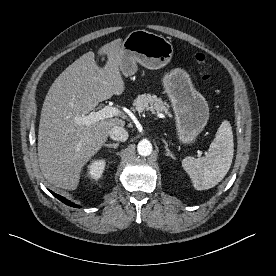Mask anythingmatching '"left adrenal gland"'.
Instances as JSON below:
<instances>
[{
	"mask_svg": "<svg viewBox=\"0 0 276 276\" xmlns=\"http://www.w3.org/2000/svg\"><path fill=\"white\" fill-rule=\"evenodd\" d=\"M162 141H163V143L165 144L166 155H167V156H170L172 159H175L174 154H173V153L169 150V148H168L167 142H166L164 139H162Z\"/></svg>",
	"mask_w": 276,
	"mask_h": 276,
	"instance_id": "1",
	"label": "left adrenal gland"
}]
</instances>
